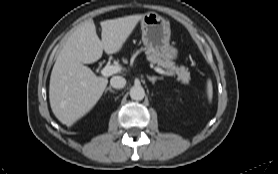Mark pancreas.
<instances>
[{
  "mask_svg": "<svg viewBox=\"0 0 278 174\" xmlns=\"http://www.w3.org/2000/svg\"><path fill=\"white\" fill-rule=\"evenodd\" d=\"M147 59L158 66L167 69L170 74H177L178 80H180L183 84H187L190 80V72L184 66H175L174 62L168 59H163L161 57L156 56L147 51ZM126 62V60H124Z\"/></svg>",
  "mask_w": 278,
  "mask_h": 174,
  "instance_id": "1",
  "label": "pancreas"
}]
</instances>
